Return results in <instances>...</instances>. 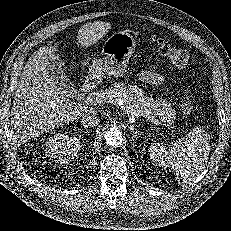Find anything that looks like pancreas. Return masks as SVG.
<instances>
[{"mask_svg": "<svg viewBox=\"0 0 231 231\" xmlns=\"http://www.w3.org/2000/svg\"><path fill=\"white\" fill-rule=\"evenodd\" d=\"M100 95L106 102L117 104L122 100L124 109L131 116L158 118L160 121L171 125L176 118V112L165 99L146 96L144 91L136 85L126 86L123 82L114 83Z\"/></svg>", "mask_w": 231, "mask_h": 231, "instance_id": "obj_1", "label": "pancreas"}]
</instances>
